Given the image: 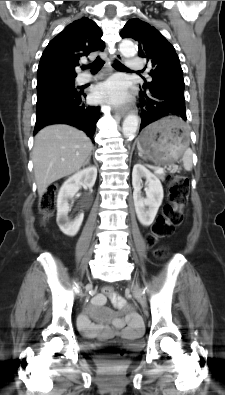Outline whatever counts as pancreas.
Returning a JSON list of instances; mask_svg holds the SVG:
<instances>
[{"label":"pancreas","mask_w":225,"mask_h":395,"mask_svg":"<svg viewBox=\"0 0 225 395\" xmlns=\"http://www.w3.org/2000/svg\"><path fill=\"white\" fill-rule=\"evenodd\" d=\"M157 176L161 179V180H165V173H158Z\"/></svg>","instance_id":"1"}]
</instances>
